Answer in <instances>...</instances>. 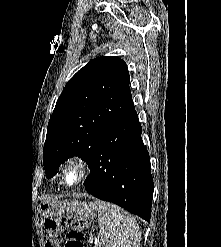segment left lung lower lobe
Masks as SVG:
<instances>
[{"instance_id":"left-lung-lower-lobe-1","label":"left lung lower lobe","mask_w":221,"mask_h":247,"mask_svg":"<svg viewBox=\"0 0 221 247\" xmlns=\"http://www.w3.org/2000/svg\"><path fill=\"white\" fill-rule=\"evenodd\" d=\"M141 132L136 112L112 123L89 162L90 174L84 186L94 197L149 222L154 186Z\"/></svg>"}]
</instances>
